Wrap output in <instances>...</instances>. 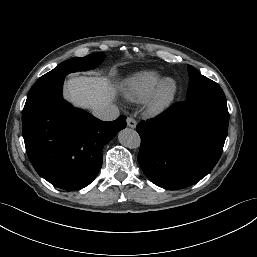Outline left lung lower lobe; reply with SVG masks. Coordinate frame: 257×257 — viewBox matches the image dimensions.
<instances>
[{"mask_svg": "<svg viewBox=\"0 0 257 257\" xmlns=\"http://www.w3.org/2000/svg\"><path fill=\"white\" fill-rule=\"evenodd\" d=\"M226 98L185 100L137 125L139 165L154 184L170 190L191 186L218 162L227 136Z\"/></svg>", "mask_w": 257, "mask_h": 257, "instance_id": "left-lung-lower-lobe-1", "label": "left lung lower lobe"}]
</instances>
